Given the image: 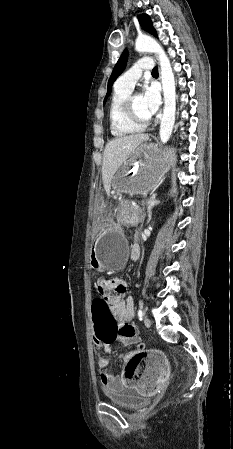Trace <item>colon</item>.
Wrapping results in <instances>:
<instances>
[{
    "label": "colon",
    "instance_id": "obj_1",
    "mask_svg": "<svg viewBox=\"0 0 233 449\" xmlns=\"http://www.w3.org/2000/svg\"><path fill=\"white\" fill-rule=\"evenodd\" d=\"M107 301H90V317L92 322L91 332L97 334L96 341L100 347H105V343H117L119 331L115 319L108 310ZM146 351L140 346L135 353L125 357L124 377L126 375H139V370L145 367L147 361Z\"/></svg>",
    "mask_w": 233,
    "mask_h": 449
}]
</instances>
